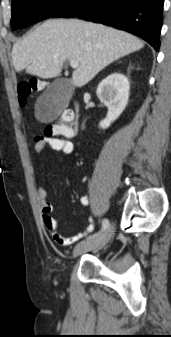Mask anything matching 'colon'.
I'll return each mask as SVG.
<instances>
[{
	"instance_id": "colon-1",
	"label": "colon",
	"mask_w": 171,
	"mask_h": 337,
	"mask_svg": "<svg viewBox=\"0 0 171 337\" xmlns=\"http://www.w3.org/2000/svg\"><path fill=\"white\" fill-rule=\"evenodd\" d=\"M46 86L43 80L29 79L22 81L18 85V97L24 104L33 94L39 92ZM73 132V123L64 115L63 118L55 123L47 125L45 128L46 136H70Z\"/></svg>"
}]
</instances>
